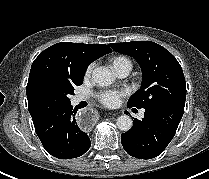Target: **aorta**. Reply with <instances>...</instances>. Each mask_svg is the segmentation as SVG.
Returning <instances> with one entry per match:
<instances>
[{"label":"aorta","mask_w":209,"mask_h":179,"mask_svg":"<svg viewBox=\"0 0 209 179\" xmlns=\"http://www.w3.org/2000/svg\"><path fill=\"white\" fill-rule=\"evenodd\" d=\"M92 79L95 84L104 87L111 85L115 78L109 69L100 67L93 71ZM116 124L121 131H129L133 126L132 119L128 115L118 117Z\"/></svg>","instance_id":"1"}]
</instances>
